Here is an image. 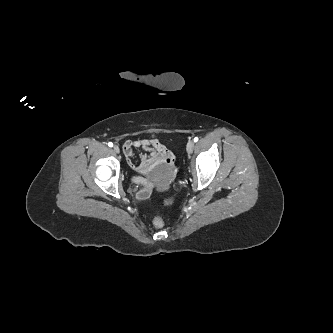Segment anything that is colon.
I'll list each match as a JSON object with an SVG mask.
<instances>
[{
	"mask_svg": "<svg viewBox=\"0 0 333 333\" xmlns=\"http://www.w3.org/2000/svg\"><path fill=\"white\" fill-rule=\"evenodd\" d=\"M174 202V198H169L164 201V205H170ZM153 225L154 227L161 229L164 226V221L160 216H156L153 219Z\"/></svg>",
	"mask_w": 333,
	"mask_h": 333,
	"instance_id": "1",
	"label": "colon"
}]
</instances>
